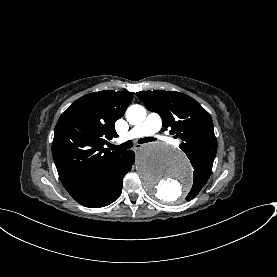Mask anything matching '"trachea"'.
Here are the masks:
<instances>
[{"instance_id":"1","label":"trachea","mask_w":277,"mask_h":277,"mask_svg":"<svg viewBox=\"0 0 277 277\" xmlns=\"http://www.w3.org/2000/svg\"><path fill=\"white\" fill-rule=\"evenodd\" d=\"M153 138L152 137H145V138H141L138 140V143H146V142H150L152 141ZM133 147V142L132 141H126L125 143L117 146V145H112V144H109V148L111 150H127V149H130Z\"/></svg>"}]
</instances>
